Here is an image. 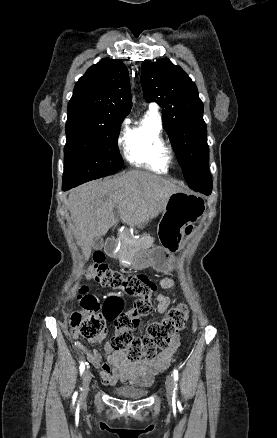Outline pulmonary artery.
Wrapping results in <instances>:
<instances>
[{
    "label": "pulmonary artery",
    "instance_id": "e3ab8cb5",
    "mask_svg": "<svg viewBox=\"0 0 277 438\" xmlns=\"http://www.w3.org/2000/svg\"><path fill=\"white\" fill-rule=\"evenodd\" d=\"M150 109L154 113V115L159 116L158 108L156 106H151Z\"/></svg>",
    "mask_w": 277,
    "mask_h": 438
}]
</instances>
